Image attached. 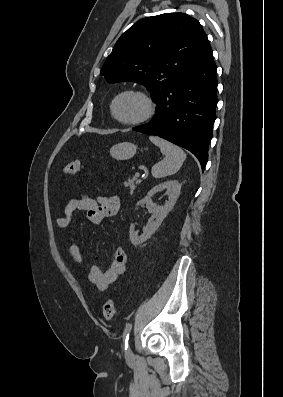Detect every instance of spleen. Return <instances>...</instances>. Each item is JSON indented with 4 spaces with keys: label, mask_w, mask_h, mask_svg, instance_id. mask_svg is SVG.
Masks as SVG:
<instances>
[{
    "label": "spleen",
    "mask_w": 283,
    "mask_h": 397,
    "mask_svg": "<svg viewBox=\"0 0 283 397\" xmlns=\"http://www.w3.org/2000/svg\"><path fill=\"white\" fill-rule=\"evenodd\" d=\"M149 140L158 146L165 156L164 159L152 167V175L155 178H164L175 174L186 159L185 152L178 146L156 136H150Z\"/></svg>",
    "instance_id": "obj_1"
}]
</instances>
